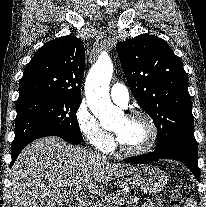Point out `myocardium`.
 Here are the masks:
<instances>
[{"label":"myocardium","mask_w":206,"mask_h":207,"mask_svg":"<svg viewBox=\"0 0 206 207\" xmlns=\"http://www.w3.org/2000/svg\"><path fill=\"white\" fill-rule=\"evenodd\" d=\"M125 117L128 120H134V119L144 120L149 126L150 138H149L148 143L144 147L139 148V149H128L121 143L117 134L115 133L116 144L120 152L129 157H136V156H141V155H145L149 153L155 147L158 141V137H159V130H158V126L156 122L149 114L142 112V111L130 112Z\"/></svg>","instance_id":"obj_1"}]
</instances>
